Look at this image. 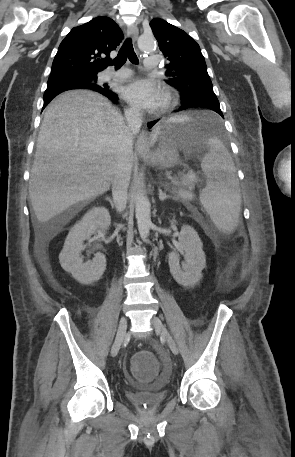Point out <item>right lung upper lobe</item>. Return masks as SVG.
<instances>
[{"label": "right lung upper lobe", "mask_w": 295, "mask_h": 457, "mask_svg": "<svg viewBox=\"0 0 295 457\" xmlns=\"http://www.w3.org/2000/svg\"><path fill=\"white\" fill-rule=\"evenodd\" d=\"M123 38L121 29L109 17L99 16L74 27L59 46L48 82L97 76L107 67L110 52ZM101 55L106 57L100 59Z\"/></svg>", "instance_id": "cb5924a9"}]
</instances>
